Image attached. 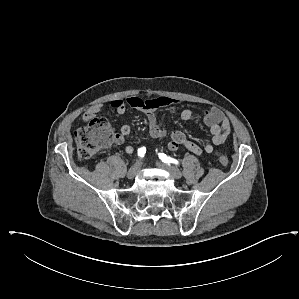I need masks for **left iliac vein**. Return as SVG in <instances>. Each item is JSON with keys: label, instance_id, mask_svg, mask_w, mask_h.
Segmentation results:
<instances>
[{"label": "left iliac vein", "instance_id": "left-iliac-vein-1", "mask_svg": "<svg viewBox=\"0 0 299 299\" xmlns=\"http://www.w3.org/2000/svg\"><path fill=\"white\" fill-rule=\"evenodd\" d=\"M156 166L163 169V170H165V171H167L175 179H180L182 177V173L177 167L170 166V165H167V164L162 163V162H157Z\"/></svg>", "mask_w": 299, "mask_h": 299}]
</instances>
